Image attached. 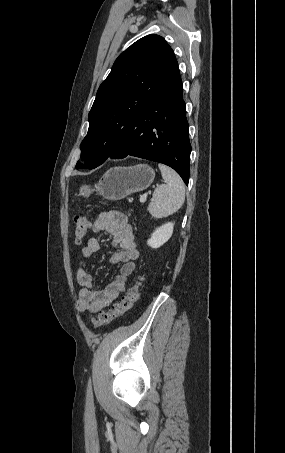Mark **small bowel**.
<instances>
[{
  "mask_svg": "<svg viewBox=\"0 0 285 453\" xmlns=\"http://www.w3.org/2000/svg\"><path fill=\"white\" fill-rule=\"evenodd\" d=\"M94 233L107 232L111 236V245L117 250L110 258L111 263H121L119 274L104 289L96 290L93 277L85 261L100 250L97 237H90L80 254L83 261L76 268V280L80 286L77 308L80 312L99 313L113 303L126 291L127 279L135 269L139 257L132 227L125 214L118 211L102 212L92 222Z\"/></svg>",
  "mask_w": 285,
  "mask_h": 453,
  "instance_id": "small-bowel-1",
  "label": "small bowel"
}]
</instances>
